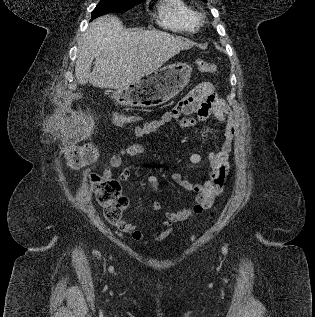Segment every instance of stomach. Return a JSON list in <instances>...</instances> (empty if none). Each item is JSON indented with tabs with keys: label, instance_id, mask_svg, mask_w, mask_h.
Instances as JSON below:
<instances>
[{
	"label": "stomach",
	"instance_id": "stomach-1",
	"mask_svg": "<svg viewBox=\"0 0 315 317\" xmlns=\"http://www.w3.org/2000/svg\"><path fill=\"white\" fill-rule=\"evenodd\" d=\"M192 68L185 62H177L157 69L134 84H124L123 94L136 98L141 107L164 104L178 95L189 83Z\"/></svg>",
	"mask_w": 315,
	"mask_h": 317
}]
</instances>
